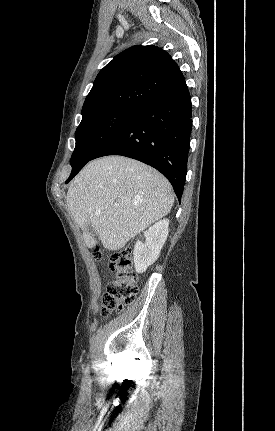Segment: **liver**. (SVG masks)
<instances>
[{
    "label": "liver",
    "mask_w": 275,
    "mask_h": 431,
    "mask_svg": "<svg viewBox=\"0 0 275 431\" xmlns=\"http://www.w3.org/2000/svg\"><path fill=\"white\" fill-rule=\"evenodd\" d=\"M174 203L172 186L157 170L123 156H107L89 162L71 182L67 205L84 231L88 248L97 240L109 251L125 244L152 223L166 216Z\"/></svg>",
    "instance_id": "6515ba94"
}]
</instances>
